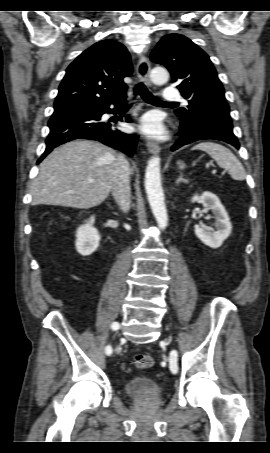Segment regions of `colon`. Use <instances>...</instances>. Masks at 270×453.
Masks as SVG:
<instances>
[{"label":"colon","instance_id":"colon-1","mask_svg":"<svg viewBox=\"0 0 270 453\" xmlns=\"http://www.w3.org/2000/svg\"><path fill=\"white\" fill-rule=\"evenodd\" d=\"M135 365L139 369H148L153 365V358L149 354H139L134 359Z\"/></svg>","mask_w":270,"mask_h":453}]
</instances>
